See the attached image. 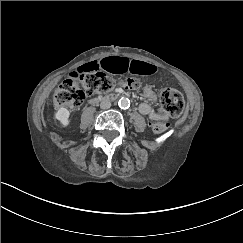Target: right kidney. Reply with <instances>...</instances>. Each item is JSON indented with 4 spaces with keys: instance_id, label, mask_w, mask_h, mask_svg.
<instances>
[{
    "instance_id": "ca27d5eb",
    "label": "right kidney",
    "mask_w": 243,
    "mask_h": 243,
    "mask_svg": "<svg viewBox=\"0 0 243 243\" xmlns=\"http://www.w3.org/2000/svg\"><path fill=\"white\" fill-rule=\"evenodd\" d=\"M54 118L59 122L60 126L66 128L70 125V112L64 107H60L55 113Z\"/></svg>"
}]
</instances>
